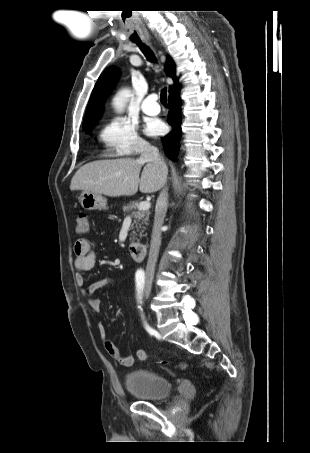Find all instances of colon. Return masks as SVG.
Wrapping results in <instances>:
<instances>
[{
  "label": "colon",
  "mask_w": 310,
  "mask_h": 453,
  "mask_svg": "<svg viewBox=\"0 0 310 453\" xmlns=\"http://www.w3.org/2000/svg\"><path fill=\"white\" fill-rule=\"evenodd\" d=\"M75 231L77 234H87L90 231V223L88 216L85 213L78 215L76 220Z\"/></svg>",
  "instance_id": "5ec220e1"
}]
</instances>
